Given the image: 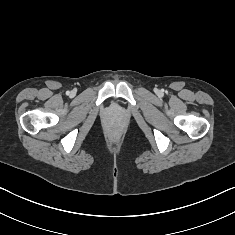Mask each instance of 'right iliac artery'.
I'll list each match as a JSON object with an SVG mask.
<instances>
[{
  "label": "right iliac artery",
  "mask_w": 235,
  "mask_h": 235,
  "mask_svg": "<svg viewBox=\"0 0 235 235\" xmlns=\"http://www.w3.org/2000/svg\"><path fill=\"white\" fill-rule=\"evenodd\" d=\"M66 94H67V95H69V94H70V92H69V91H67V92H66Z\"/></svg>",
  "instance_id": "82829eb1"
}]
</instances>
